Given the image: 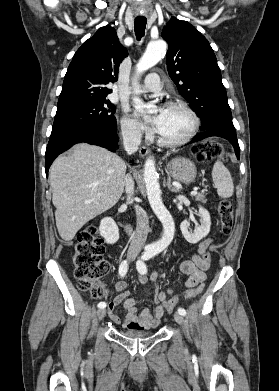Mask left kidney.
<instances>
[{"label":"left kidney","mask_w":279,"mask_h":391,"mask_svg":"<svg viewBox=\"0 0 279 391\" xmlns=\"http://www.w3.org/2000/svg\"><path fill=\"white\" fill-rule=\"evenodd\" d=\"M199 217H200L201 224L195 229L193 233H191L188 230L189 222L187 219L184 220L180 225L182 235L184 236L186 241L191 244L198 243L201 239L206 237L210 232L211 219H210L209 212L201 206H199Z\"/></svg>","instance_id":"1"}]
</instances>
